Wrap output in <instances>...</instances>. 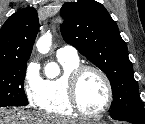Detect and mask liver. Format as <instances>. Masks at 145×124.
<instances>
[{
    "label": "liver",
    "instance_id": "1",
    "mask_svg": "<svg viewBox=\"0 0 145 124\" xmlns=\"http://www.w3.org/2000/svg\"><path fill=\"white\" fill-rule=\"evenodd\" d=\"M0 124H77V121L19 109H0Z\"/></svg>",
    "mask_w": 145,
    "mask_h": 124
}]
</instances>
